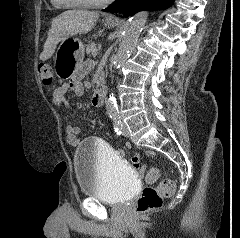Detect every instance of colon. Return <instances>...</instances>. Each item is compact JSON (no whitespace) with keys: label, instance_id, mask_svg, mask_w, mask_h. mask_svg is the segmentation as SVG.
I'll use <instances>...</instances> for the list:
<instances>
[{"label":"colon","instance_id":"1","mask_svg":"<svg viewBox=\"0 0 240 238\" xmlns=\"http://www.w3.org/2000/svg\"><path fill=\"white\" fill-rule=\"evenodd\" d=\"M38 75L45 85H50L53 82V69L47 63H40L38 65ZM158 178V169L150 168L146 172V180L148 182L153 183ZM174 190V181L169 178L162 179L156 187L144 188L135 204L136 213L145 214L158 209L161 207L163 199L170 197L174 193Z\"/></svg>","mask_w":240,"mask_h":238}]
</instances>
